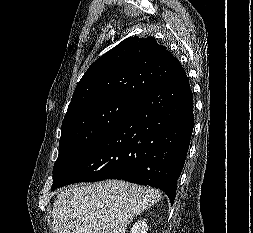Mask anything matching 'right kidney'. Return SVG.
<instances>
[{
  "label": "right kidney",
  "instance_id": "right-kidney-1",
  "mask_svg": "<svg viewBox=\"0 0 253 233\" xmlns=\"http://www.w3.org/2000/svg\"><path fill=\"white\" fill-rule=\"evenodd\" d=\"M147 224L145 220L136 222L131 228L130 233H147Z\"/></svg>",
  "mask_w": 253,
  "mask_h": 233
}]
</instances>
